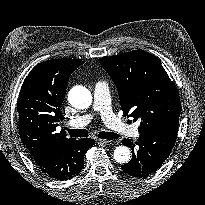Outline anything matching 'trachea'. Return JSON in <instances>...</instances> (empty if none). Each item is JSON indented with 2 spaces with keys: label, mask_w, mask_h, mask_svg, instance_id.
<instances>
[{
  "label": "trachea",
  "mask_w": 205,
  "mask_h": 205,
  "mask_svg": "<svg viewBox=\"0 0 205 205\" xmlns=\"http://www.w3.org/2000/svg\"><path fill=\"white\" fill-rule=\"evenodd\" d=\"M66 130L68 131L70 137H87L88 136V132L85 129H68L66 128ZM99 138L102 139H107V140H114L119 138L120 136L117 133L114 132H105L102 131L98 134Z\"/></svg>",
  "instance_id": "trachea-1"
}]
</instances>
